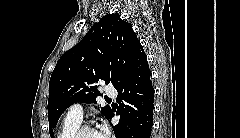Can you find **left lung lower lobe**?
Listing matches in <instances>:
<instances>
[{
  "instance_id": "1",
  "label": "left lung lower lobe",
  "mask_w": 240,
  "mask_h": 138,
  "mask_svg": "<svg viewBox=\"0 0 240 138\" xmlns=\"http://www.w3.org/2000/svg\"><path fill=\"white\" fill-rule=\"evenodd\" d=\"M144 50L140 51L124 80L116 88L119 103L116 114L121 115L113 126L116 138H150L153 126L154 88ZM113 112L107 119L110 121Z\"/></svg>"
}]
</instances>
